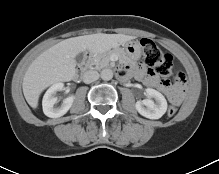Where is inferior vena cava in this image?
I'll return each instance as SVG.
<instances>
[{
    "mask_svg": "<svg viewBox=\"0 0 219 174\" xmlns=\"http://www.w3.org/2000/svg\"><path fill=\"white\" fill-rule=\"evenodd\" d=\"M84 83H91L99 79V73L95 70H88L82 76Z\"/></svg>",
    "mask_w": 219,
    "mask_h": 174,
    "instance_id": "1",
    "label": "inferior vena cava"
}]
</instances>
